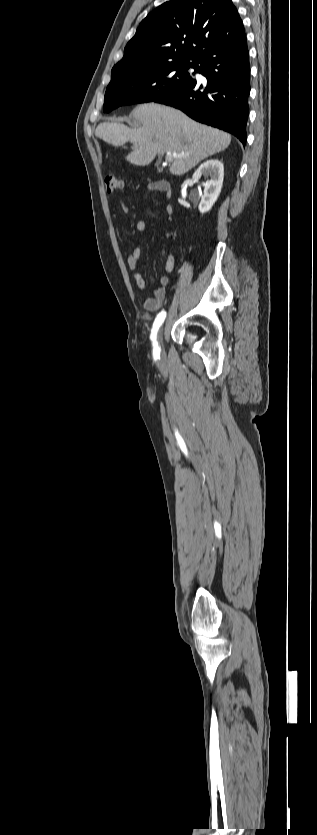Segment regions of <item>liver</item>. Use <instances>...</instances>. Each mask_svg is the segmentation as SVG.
Here are the masks:
<instances>
[{"mask_svg": "<svg viewBox=\"0 0 317 835\" xmlns=\"http://www.w3.org/2000/svg\"><path fill=\"white\" fill-rule=\"evenodd\" d=\"M131 115L139 126L130 128L120 122H103L97 126L95 136L115 147L127 142L133 144L126 160L134 165L145 166L157 154L172 153L176 157L171 160L170 173L183 175L203 159L226 149L231 142L226 132L157 103L141 104Z\"/></svg>", "mask_w": 317, "mask_h": 835, "instance_id": "obj_1", "label": "liver"}]
</instances>
